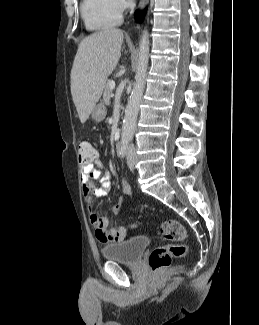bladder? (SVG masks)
<instances>
[{
    "label": "bladder",
    "instance_id": "31cf9c89",
    "mask_svg": "<svg viewBox=\"0 0 259 325\" xmlns=\"http://www.w3.org/2000/svg\"><path fill=\"white\" fill-rule=\"evenodd\" d=\"M149 244L150 239L147 236H135L119 243L104 246L101 249V254L105 260L133 265L140 260Z\"/></svg>",
    "mask_w": 259,
    "mask_h": 325
}]
</instances>
